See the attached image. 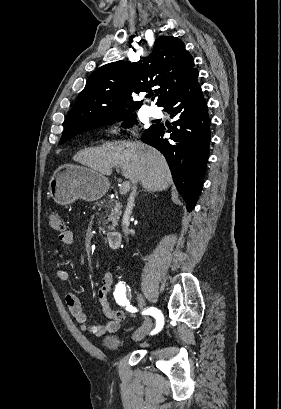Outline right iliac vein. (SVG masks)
Listing matches in <instances>:
<instances>
[{"label": "right iliac vein", "instance_id": "1", "mask_svg": "<svg viewBox=\"0 0 281 409\" xmlns=\"http://www.w3.org/2000/svg\"><path fill=\"white\" fill-rule=\"evenodd\" d=\"M137 300L138 303L140 305V307H145L146 306V300L144 298V296L141 293L137 294ZM152 327V322L150 317H145V321L143 323V325L140 327V329H138V331L134 334L133 339L136 341H140L142 340L145 335L150 331Z\"/></svg>", "mask_w": 281, "mask_h": 409}]
</instances>
